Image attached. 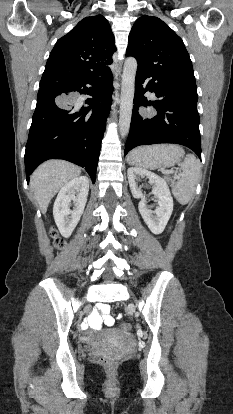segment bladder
<instances>
[{"instance_id":"31cf9c89","label":"bladder","mask_w":233,"mask_h":414,"mask_svg":"<svg viewBox=\"0 0 233 414\" xmlns=\"http://www.w3.org/2000/svg\"><path fill=\"white\" fill-rule=\"evenodd\" d=\"M113 333V331L112 330H108V331H106L104 334H112Z\"/></svg>"}]
</instances>
